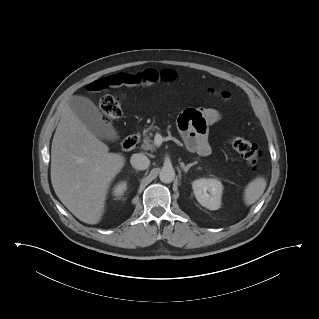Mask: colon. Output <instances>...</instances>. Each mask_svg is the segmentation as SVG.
I'll list each match as a JSON object with an SVG mask.
<instances>
[{"mask_svg":"<svg viewBox=\"0 0 319 319\" xmlns=\"http://www.w3.org/2000/svg\"><path fill=\"white\" fill-rule=\"evenodd\" d=\"M229 96L223 94V98ZM99 107L106 121H112L122 115L121 99L112 95H105L99 101ZM230 145L245 159L247 164L255 169L261 158V151L258 146L244 138L236 135L229 137Z\"/></svg>","mask_w":319,"mask_h":319,"instance_id":"5ec220e1","label":"colon"}]
</instances>
